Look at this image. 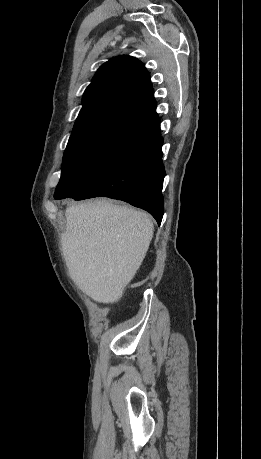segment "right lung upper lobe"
Segmentation results:
<instances>
[{
    "instance_id": "obj_1",
    "label": "right lung upper lobe",
    "mask_w": 261,
    "mask_h": 459,
    "mask_svg": "<svg viewBox=\"0 0 261 459\" xmlns=\"http://www.w3.org/2000/svg\"><path fill=\"white\" fill-rule=\"evenodd\" d=\"M153 92L150 76L139 60L131 56L110 59L85 90L70 138L118 124L155 128L160 120Z\"/></svg>"
}]
</instances>
